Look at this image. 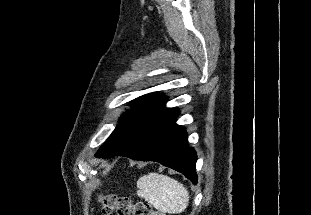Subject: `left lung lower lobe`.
Segmentation results:
<instances>
[{
	"instance_id": "0a47b994",
	"label": "left lung lower lobe",
	"mask_w": 311,
	"mask_h": 215,
	"mask_svg": "<svg viewBox=\"0 0 311 215\" xmlns=\"http://www.w3.org/2000/svg\"><path fill=\"white\" fill-rule=\"evenodd\" d=\"M178 115V109L165 107L153 116L136 138L117 155L159 162L181 172L193 184H197V155L192 147L187 146L185 128L176 124Z\"/></svg>"
}]
</instances>
